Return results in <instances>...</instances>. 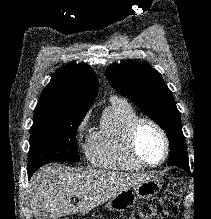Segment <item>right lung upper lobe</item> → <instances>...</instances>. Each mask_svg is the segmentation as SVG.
I'll return each mask as SVG.
<instances>
[{
	"instance_id": "right-lung-upper-lobe-1",
	"label": "right lung upper lobe",
	"mask_w": 211,
	"mask_h": 219,
	"mask_svg": "<svg viewBox=\"0 0 211 219\" xmlns=\"http://www.w3.org/2000/svg\"><path fill=\"white\" fill-rule=\"evenodd\" d=\"M98 78L86 64L69 63L61 67L44 88L37 107L55 114L85 113L93 104Z\"/></svg>"
}]
</instances>
